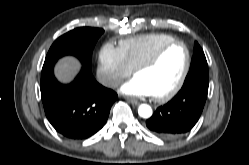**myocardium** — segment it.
<instances>
[{
	"mask_svg": "<svg viewBox=\"0 0 249 165\" xmlns=\"http://www.w3.org/2000/svg\"><path fill=\"white\" fill-rule=\"evenodd\" d=\"M175 45H181L185 49V52H186L185 66H184L183 71H182V73H181V75L179 77V80L177 81L176 85L170 91H168L167 93L162 94V95H152L153 99L156 102L162 103V102H166V101L170 100L183 87V85L185 83V80H186V78L188 76L190 67H191V52H190L189 47L187 46L186 43H184L183 41H180V40L170 41V42L160 46L151 57H149L148 59H146L145 61H143L139 65H137L136 68L134 69V75H136L137 73L152 67L153 65H155L160 60L162 55L169 48H171V47H173Z\"/></svg>",
	"mask_w": 249,
	"mask_h": 165,
	"instance_id": "f54148a6",
	"label": "myocardium"
}]
</instances>
